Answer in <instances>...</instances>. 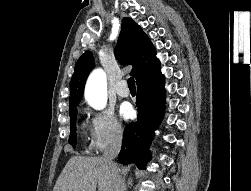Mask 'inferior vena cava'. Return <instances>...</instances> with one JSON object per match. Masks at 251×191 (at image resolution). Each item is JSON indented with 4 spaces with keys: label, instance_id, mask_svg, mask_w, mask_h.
<instances>
[{
    "label": "inferior vena cava",
    "instance_id": "602c4592",
    "mask_svg": "<svg viewBox=\"0 0 251 191\" xmlns=\"http://www.w3.org/2000/svg\"><path fill=\"white\" fill-rule=\"evenodd\" d=\"M122 137L123 131L121 127H115L112 139L108 147H106L105 151H103L102 155V159H104V161H107V163H112V159H114V157H117L121 149ZM115 179L118 185L116 191H124V185L122 183L121 175H115Z\"/></svg>",
    "mask_w": 251,
    "mask_h": 191
}]
</instances>
